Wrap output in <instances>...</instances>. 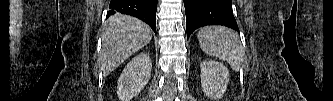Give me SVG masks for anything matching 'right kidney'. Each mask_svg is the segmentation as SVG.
I'll list each match as a JSON object with an SVG mask.
<instances>
[{
  "label": "right kidney",
  "mask_w": 333,
  "mask_h": 101,
  "mask_svg": "<svg viewBox=\"0 0 333 101\" xmlns=\"http://www.w3.org/2000/svg\"><path fill=\"white\" fill-rule=\"evenodd\" d=\"M152 69L150 56L141 53L124 68L117 82V94L121 101H130L137 96L149 81Z\"/></svg>",
  "instance_id": "ca27d5eb"
}]
</instances>
